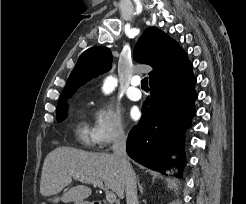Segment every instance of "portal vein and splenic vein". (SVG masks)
Listing matches in <instances>:
<instances>
[{
    "mask_svg": "<svg viewBox=\"0 0 246 204\" xmlns=\"http://www.w3.org/2000/svg\"><path fill=\"white\" fill-rule=\"evenodd\" d=\"M74 178L76 179L77 176H74ZM81 182L83 183H89V184H93L95 186H98L99 188L103 189L105 191V195H106V199L109 203L113 204L117 197L115 195V193L113 191H109L108 189H106L103 185V182L100 179H92V178H81L80 179Z\"/></svg>",
    "mask_w": 246,
    "mask_h": 204,
    "instance_id": "portal-vein-and-splenic-vein-1",
    "label": "portal vein and splenic vein"
}]
</instances>
